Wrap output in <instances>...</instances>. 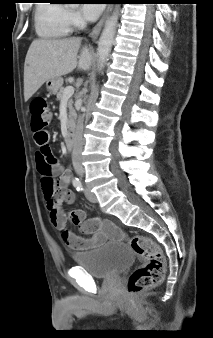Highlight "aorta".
<instances>
[{"instance_id": "obj_1", "label": "aorta", "mask_w": 213, "mask_h": 338, "mask_svg": "<svg viewBox=\"0 0 213 338\" xmlns=\"http://www.w3.org/2000/svg\"><path fill=\"white\" fill-rule=\"evenodd\" d=\"M117 15L113 13L107 20L105 27L101 33L98 41L97 56H98V70L101 71L108 61L109 54L112 48L114 34L116 31Z\"/></svg>"}]
</instances>
